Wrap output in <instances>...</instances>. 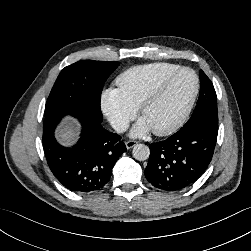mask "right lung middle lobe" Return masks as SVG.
Here are the masks:
<instances>
[{
  "label": "right lung middle lobe",
  "instance_id": "1",
  "mask_svg": "<svg viewBox=\"0 0 251 251\" xmlns=\"http://www.w3.org/2000/svg\"><path fill=\"white\" fill-rule=\"evenodd\" d=\"M118 66L117 61L83 60L65 67L49 94L45 117L78 111L102 122L101 92Z\"/></svg>",
  "mask_w": 251,
  "mask_h": 251
}]
</instances>
